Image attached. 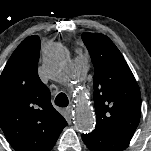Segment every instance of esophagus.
<instances>
[{
	"instance_id": "1",
	"label": "esophagus",
	"mask_w": 151,
	"mask_h": 151,
	"mask_svg": "<svg viewBox=\"0 0 151 151\" xmlns=\"http://www.w3.org/2000/svg\"><path fill=\"white\" fill-rule=\"evenodd\" d=\"M67 112L69 113V114H71L72 113V110H73V108H72V106H69V107H67Z\"/></svg>"
}]
</instances>
